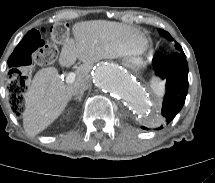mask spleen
<instances>
[{
	"label": "spleen",
	"mask_w": 215,
	"mask_h": 183,
	"mask_svg": "<svg viewBox=\"0 0 215 183\" xmlns=\"http://www.w3.org/2000/svg\"><path fill=\"white\" fill-rule=\"evenodd\" d=\"M153 88H154V90H155V92H156V94H163L164 93V83L163 82H159V81H155L154 83H153Z\"/></svg>",
	"instance_id": "spleen-1"
}]
</instances>
